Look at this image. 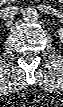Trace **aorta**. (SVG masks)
Returning a JSON list of instances; mask_svg holds the SVG:
<instances>
[{
	"label": "aorta",
	"mask_w": 63,
	"mask_h": 107,
	"mask_svg": "<svg viewBox=\"0 0 63 107\" xmlns=\"http://www.w3.org/2000/svg\"><path fill=\"white\" fill-rule=\"evenodd\" d=\"M23 19L27 23H35L39 19L38 11L32 7L26 8L23 11Z\"/></svg>",
	"instance_id": "762f6f07"
}]
</instances>
